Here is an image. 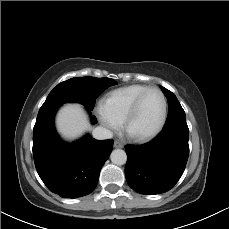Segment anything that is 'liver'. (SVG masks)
I'll list each match as a JSON object with an SVG mask.
<instances>
[{
    "instance_id": "liver-1",
    "label": "liver",
    "mask_w": 229,
    "mask_h": 229,
    "mask_svg": "<svg viewBox=\"0 0 229 229\" xmlns=\"http://www.w3.org/2000/svg\"><path fill=\"white\" fill-rule=\"evenodd\" d=\"M58 131L66 138L73 139L90 129L87 115L79 104L65 105L56 118Z\"/></svg>"
}]
</instances>
